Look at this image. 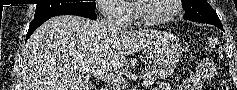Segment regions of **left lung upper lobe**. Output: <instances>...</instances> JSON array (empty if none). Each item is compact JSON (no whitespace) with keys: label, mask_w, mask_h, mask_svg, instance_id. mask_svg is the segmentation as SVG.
I'll return each instance as SVG.
<instances>
[{"label":"left lung upper lobe","mask_w":237,"mask_h":90,"mask_svg":"<svg viewBox=\"0 0 237 90\" xmlns=\"http://www.w3.org/2000/svg\"><path fill=\"white\" fill-rule=\"evenodd\" d=\"M185 20L222 26L219 17L206 0H182Z\"/></svg>","instance_id":"obj_1"}]
</instances>
